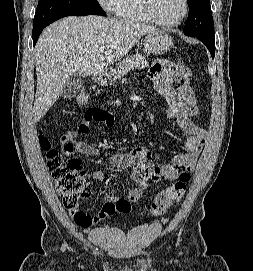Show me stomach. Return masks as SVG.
Instances as JSON below:
<instances>
[{
    "label": "stomach",
    "instance_id": "1",
    "mask_svg": "<svg viewBox=\"0 0 253 271\" xmlns=\"http://www.w3.org/2000/svg\"><path fill=\"white\" fill-rule=\"evenodd\" d=\"M145 49L155 55H163L173 46L172 38L164 31L155 30L146 34ZM116 71L107 69L96 75L97 81L102 84L113 83L116 80Z\"/></svg>",
    "mask_w": 253,
    "mask_h": 271
}]
</instances>
